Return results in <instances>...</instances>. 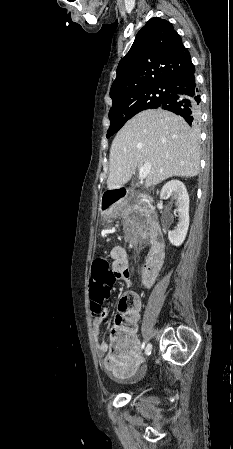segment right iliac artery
<instances>
[{"label":"right iliac artery","instance_id":"82829eb1","mask_svg":"<svg viewBox=\"0 0 233 449\" xmlns=\"http://www.w3.org/2000/svg\"><path fill=\"white\" fill-rule=\"evenodd\" d=\"M144 346H145V343L142 344V348H144ZM151 349H152V345H148V346L146 347L145 354H146V355H150Z\"/></svg>","mask_w":233,"mask_h":449}]
</instances>
